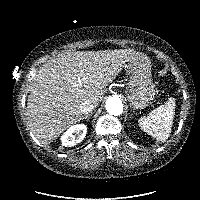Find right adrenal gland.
<instances>
[{
  "label": "right adrenal gland",
  "mask_w": 200,
  "mask_h": 200,
  "mask_svg": "<svg viewBox=\"0 0 200 200\" xmlns=\"http://www.w3.org/2000/svg\"><path fill=\"white\" fill-rule=\"evenodd\" d=\"M90 116H91V113L86 114V115H84V116L81 117V120H84V119H85V120L88 121V120L90 119Z\"/></svg>",
  "instance_id": "2a0ac1e0"
}]
</instances>
